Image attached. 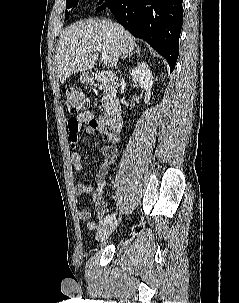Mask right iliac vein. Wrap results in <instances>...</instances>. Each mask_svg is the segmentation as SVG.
I'll return each mask as SVG.
<instances>
[{
    "mask_svg": "<svg viewBox=\"0 0 239 303\" xmlns=\"http://www.w3.org/2000/svg\"><path fill=\"white\" fill-rule=\"evenodd\" d=\"M118 225V221H114V222H111L107 225H104L102 226L98 231H97V234H96V240L98 242H102V241H105L111 234L112 232L114 231V229L117 227Z\"/></svg>",
    "mask_w": 239,
    "mask_h": 303,
    "instance_id": "right-iliac-vein-1",
    "label": "right iliac vein"
}]
</instances>
